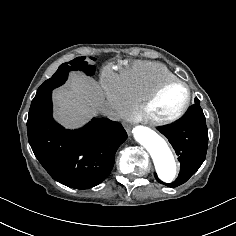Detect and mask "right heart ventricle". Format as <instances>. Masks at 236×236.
<instances>
[{
	"mask_svg": "<svg viewBox=\"0 0 236 236\" xmlns=\"http://www.w3.org/2000/svg\"><path fill=\"white\" fill-rule=\"evenodd\" d=\"M175 78L167 66L148 61L132 63L125 68L122 75L126 97L132 104H139L160 82Z\"/></svg>",
	"mask_w": 236,
	"mask_h": 236,
	"instance_id": "right-heart-ventricle-1",
	"label": "right heart ventricle"
}]
</instances>
